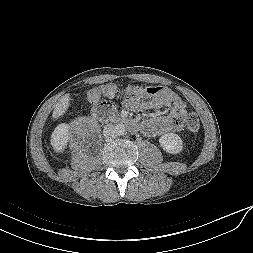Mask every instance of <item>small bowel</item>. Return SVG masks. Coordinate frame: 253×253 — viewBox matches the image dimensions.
<instances>
[{
  "instance_id": "obj_1",
  "label": "small bowel",
  "mask_w": 253,
  "mask_h": 253,
  "mask_svg": "<svg viewBox=\"0 0 253 253\" xmlns=\"http://www.w3.org/2000/svg\"><path fill=\"white\" fill-rule=\"evenodd\" d=\"M100 105L111 110L118 108V103L108 98H102ZM123 105L125 108L135 112L171 107L168 116H154L143 123L142 129L148 136H159L169 132L180 131L186 115L185 103L169 89H165L162 94L157 96H131L124 100Z\"/></svg>"
}]
</instances>
